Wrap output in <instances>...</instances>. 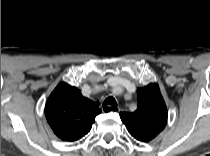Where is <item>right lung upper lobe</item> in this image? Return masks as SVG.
Returning <instances> with one entry per match:
<instances>
[{"mask_svg":"<svg viewBox=\"0 0 210 156\" xmlns=\"http://www.w3.org/2000/svg\"><path fill=\"white\" fill-rule=\"evenodd\" d=\"M100 113L97 103L83 97L80 90L64 82L58 84L45 105L46 119L55 135L63 141L82 138Z\"/></svg>","mask_w":210,"mask_h":156,"instance_id":"obj_1","label":"right lung upper lobe"}]
</instances>
